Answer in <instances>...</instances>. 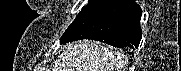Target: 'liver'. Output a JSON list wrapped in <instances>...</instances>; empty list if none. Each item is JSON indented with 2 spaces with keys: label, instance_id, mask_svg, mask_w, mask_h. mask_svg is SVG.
<instances>
[{
  "label": "liver",
  "instance_id": "6515ba94",
  "mask_svg": "<svg viewBox=\"0 0 181 71\" xmlns=\"http://www.w3.org/2000/svg\"><path fill=\"white\" fill-rule=\"evenodd\" d=\"M127 57L90 40L68 44L53 71H125Z\"/></svg>",
  "mask_w": 181,
  "mask_h": 71
}]
</instances>
